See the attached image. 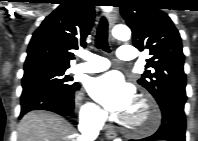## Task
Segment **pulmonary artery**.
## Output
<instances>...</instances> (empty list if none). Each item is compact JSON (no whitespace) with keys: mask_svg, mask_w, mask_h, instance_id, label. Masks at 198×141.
<instances>
[{"mask_svg":"<svg viewBox=\"0 0 198 141\" xmlns=\"http://www.w3.org/2000/svg\"><path fill=\"white\" fill-rule=\"evenodd\" d=\"M136 50L132 46L125 45L119 48L117 57L123 61L131 62L135 59ZM81 57L87 60L86 63L75 65L72 71L75 73H95L104 71L109 68L110 62L107 58L86 53L81 54Z\"/></svg>","mask_w":198,"mask_h":141,"instance_id":"pulmonary-artery-1","label":"pulmonary artery"}]
</instances>
